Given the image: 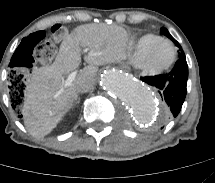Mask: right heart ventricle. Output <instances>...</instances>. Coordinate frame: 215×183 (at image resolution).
<instances>
[{
  "label": "right heart ventricle",
  "mask_w": 215,
  "mask_h": 183,
  "mask_svg": "<svg viewBox=\"0 0 215 183\" xmlns=\"http://www.w3.org/2000/svg\"><path fill=\"white\" fill-rule=\"evenodd\" d=\"M160 39L162 38L155 34H145L139 37L133 45L132 56L134 60L138 62L143 53Z\"/></svg>",
  "instance_id": "e07e8e85"
}]
</instances>
